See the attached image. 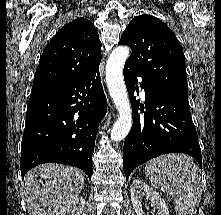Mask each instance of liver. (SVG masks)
Here are the masks:
<instances>
[{
  "label": "liver",
  "instance_id": "obj_1",
  "mask_svg": "<svg viewBox=\"0 0 221 215\" xmlns=\"http://www.w3.org/2000/svg\"><path fill=\"white\" fill-rule=\"evenodd\" d=\"M84 187L82 171L62 164L45 163L24 178V195L29 215H55L76 199Z\"/></svg>",
  "mask_w": 221,
  "mask_h": 215
}]
</instances>
